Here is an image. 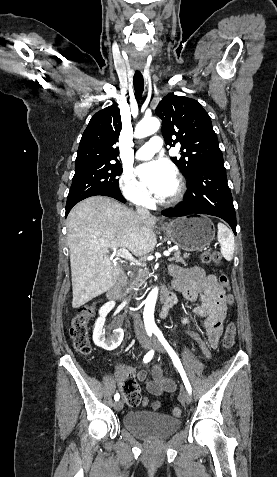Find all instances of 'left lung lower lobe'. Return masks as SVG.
<instances>
[{
	"mask_svg": "<svg viewBox=\"0 0 277 477\" xmlns=\"http://www.w3.org/2000/svg\"><path fill=\"white\" fill-rule=\"evenodd\" d=\"M187 187L185 202L173 209L162 211L164 216H217L225 220L236 235V214L223 159L200 164L188 179Z\"/></svg>",
	"mask_w": 277,
	"mask_h": 477,
	"instance_id": "1",
	"label": "left lung lower lobe"
}]
</instances>
